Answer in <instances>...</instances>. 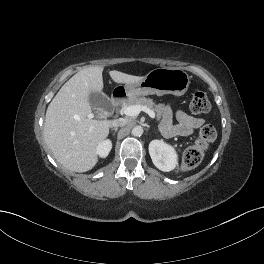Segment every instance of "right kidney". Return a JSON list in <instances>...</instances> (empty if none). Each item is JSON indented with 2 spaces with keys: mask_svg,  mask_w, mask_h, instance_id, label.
I'll use <instances>...</instances> for the list:
<instances>
[{
  "mask_svg": "<svg viewBox=\"0 0 264 264\" xmlns=\"http://www.w3.org/2000/svg\"><path fill=\"white\" fill-rule=\"evenodd\" d=\"M111 148H112L111 141L104 140L97 146L96 152L100 157L105 158L108 156Z\"/></svg>",
  "mask_w": 264,
  "mask_h": 264,
  "instance_id": "1",
  "label": "right kidney"
}]
</instances>
